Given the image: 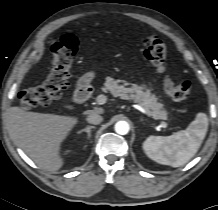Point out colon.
<instances>
[{"mask_svg":"<svg viewBox=\"0 0 218 210\" xmlns=\"http://www.w3.org/2000/svg\"><path fill=\"white\" fill-rule=\"evenodd\" d=\"M78 39L73 35H65L54 49V64L46 79L38 86L26 89L20 95L23 104L31 107L43 106L61 97L69 85L73 57L78 50ZM144 58L153 66L156 73L163 75L165 93L175 101L190 98L191 85L184 81L174 83L165 75L166 46L155 35H150L144 42Z\"/></svg>","mask_w":218,"mask_h":210,"instance_id":"5ec220e1","label":"colon"}]
</instances>
